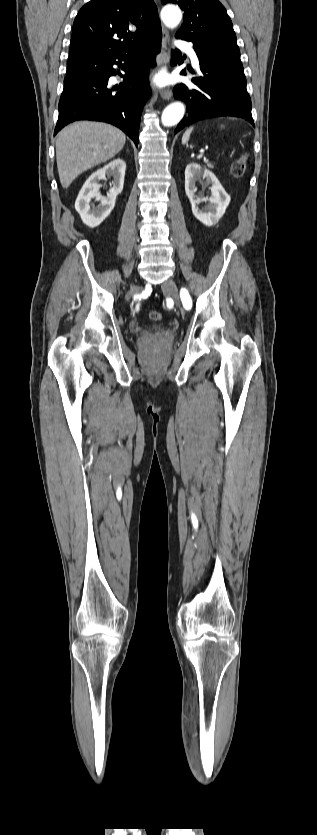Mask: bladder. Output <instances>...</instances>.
<instances>
[{
	"label": "bladder",
	"mask_w": 317,
	"mask_h": 835,
	"mask_svg": "<svg viewBox=\"0 0 317 835\" xmlns=\"http://www.w3.org/2000/svg\"><path fill=\"white\" fill-rule=\"evenodd\" d=\"M163 330H164V328H163L162 326H158V325H157V326H153V327H151V328H150V331H151V332H153V333H155V334H159V333H161Z\"/></svg>",
	"instance_id": "1"
}]
</instances>
